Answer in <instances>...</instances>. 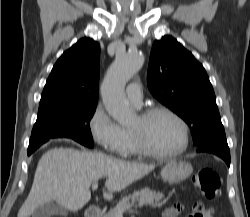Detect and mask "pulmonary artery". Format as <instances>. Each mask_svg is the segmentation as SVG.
Masks as SVG:
<instances>
[{"instance_id":"e3ab8cb5","label":"pulmonary artery","mask_w":250,"mask_h":217,"mask_svg":"<svg viewBox=\"0 0 250 217\" xmlns=\"http://www.w3.org/2000/svg\"><path fill=\"white\" fill-rule=\"evenodd\" d=\"M126 95L133 105L139 107L143 99L141 85L138 82L130 83L126 88Z\"/></svg>"}]
</instances>
